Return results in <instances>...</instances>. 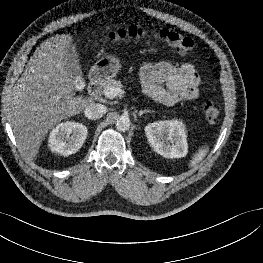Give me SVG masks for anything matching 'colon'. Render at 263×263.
I'll return each instance as SVG.
<instances>
[{"mask_svg": "<svg viewBox=\"0 0 263 263\" xmlns=\"http://www.w3.org/2000/svg\"><path fill=\"white\" fill-rule=\"evenodd\" d=\"M147 34L148 32L141 26L130 25L110 31L104 35L100 41L115 42L126 38H142ZM150 34L152 37L168 44L180 54H187L193 48V41L191 38L170 29H159ZM220 112L221 106L219 103L212 100L205 102L203 106V115L208 123L214 124L218 120Z\"/></svg>", "mask_w": 263, "mask_h": 263, "instance_id": "obj_1", "label": "colon"}]
</instances>
